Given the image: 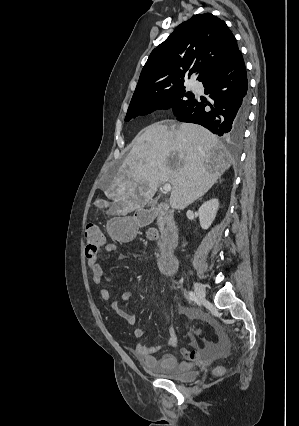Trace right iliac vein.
I'll return each mask as SVG.
<instances>
[{
	"label": "right iliac vein",
	"mask_w": 299,
	"mask_h": 426,
	"mask_svg": "<svg viewBox=\"0 0 299 426\" xmlns=\"http://www.w3.org/2000/svg\"><path fill=\"white\" fill-rule=\"evenodd\" d=\"M194 290L198 301L202 302L206 297V290L203 284L200 282H194Z\"/></svg>",
	"instance_id": "1"
}]
</instances>
